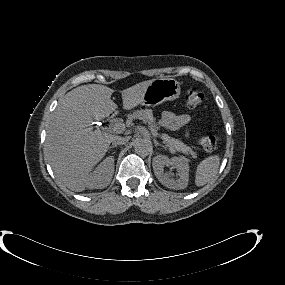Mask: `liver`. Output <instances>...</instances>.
I'll return each instance as SVG.
<instances>
[{"mask_svg": "<svg viewBox=\"0 0 285 285\" xmlns=\"http://www.w3.org/2000/svg\"><path fill=\"white\" fill-rule=\"evenodd\" d=\"M151 81L123 90V109L140 105ZM113 92L100 84L79 86L59 101L51 116L44 153L56 178L73 191L81 192L87 187L92 169L116 137L92 127L93 120L103 121L118 108L111 100Z\"/></svg>", "mask_w": 285, "mask_h": 285, "instance_id": "obj_1", "label": "liver"}]
</instances>
